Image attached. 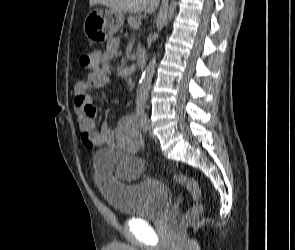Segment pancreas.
Returning <instances> with one entry per match:
<instances>
[{
  "label": "pancreas",
  "mask_w": 295,
  "mask_h": 250,
  "mask_svg": "<svg viewBox=\"0 0 295 250\" xmlns=\"http://www.w3.org/2000/svg\"><path fill=\"white\" fill-rule=\"evenodd\" d=\"M128 24L130 25L131 28H134V24L140 21V19L137 16H129L128 19ZM135 29V28H134Z\"/></svg>",
  "instance_id": "1"
}]
</instances>
